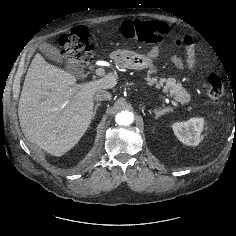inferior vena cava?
Listing matches in <instances>:
<instances>
[{
  "instance_id": "obj_1",
  "label": "inferior vena cava",
  "mask_w": 236,
  "mask_h": 236,
  "mask_svg": "<svg viewBox=\"0 0 236 236\" xmlns=\"http://www.w3.org/2000/svg\"><path fill=\"white\" fill-rule=\"evenodd\" d=\"M112 95L106 90H99L95 94L96 101L111 100Z\"/></svg>"
}]
</instances>
